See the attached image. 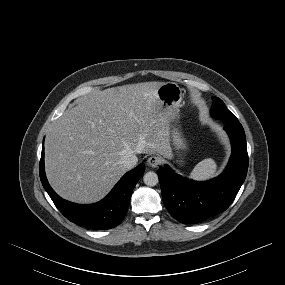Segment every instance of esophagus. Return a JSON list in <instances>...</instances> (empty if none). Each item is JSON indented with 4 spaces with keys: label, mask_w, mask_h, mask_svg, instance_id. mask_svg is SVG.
I'll return each instance as SVG.
<instances>
[{
    "label": "esophagus",
    "mask_w": 285,
    "mask_h": 285,
    "mask_svg": "<svg viewBox=\"0 0 285 285\" xmlns=\"http://www.w3.org/2000/svg\"><path fill=\"white\" fill-rule=\"evenodd\" d=\"M147 163L150 167L156 168L160 164V158L158 156H151L148 158Z\"/></svg>",
    "instance_id": "esophagus-1"
}]
</instances>
